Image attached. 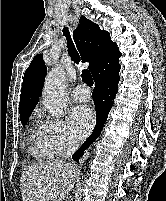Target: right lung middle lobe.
<instances>
[{"mask_svg":"<svg viewBox=\"0 0 166 201\" xmlns=\"http://www.w3.org/2000/svg\"><path fill=\"white\" fill-rule=\"evenodd\" d=\"M29 116H25L20 118L22 125L24 126L26 124V122L28 121Z\"/></svg>","mask_w":166,"mask_h":201,"instance_id":"right-lung-middle-lobe-1","label":"right lung middle lobe"}]
</instances>
